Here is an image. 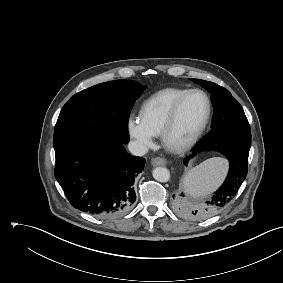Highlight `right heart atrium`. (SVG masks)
I'll list each match as a JSON object with an SVG mask.
<instances>
[{
  "label": "right heart atrium",
  "instance_id": "d8ad5b80",
  "mask_svg": "<svg viewBox=\"0 0 283 283\" xmlns=\"http://www.w3.org/2000/svg\"><path fill=\"white\" fill-rule=\"evenodd\" d=\"M127 131L139 151H145L153 145V135L144 127L140 119L129 117Z\"/></svg>",
  "mask_w": 283,
  "mask_h": 283
}]
</instances>
